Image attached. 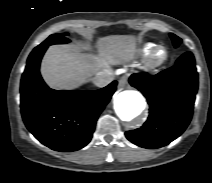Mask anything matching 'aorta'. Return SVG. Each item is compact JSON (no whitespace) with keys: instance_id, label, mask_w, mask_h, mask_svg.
<instances>
[{"instance_id":"1","label":"aorta","mask_w":212,"mask_h":183,"mask_svg":"<svg viewBox=\"0 0 212 183\" xmlns=\"http://www.w3.org/2000/svg\"><path fill=\"white\" fill-rule=\"evenodd\" d=\"M145 99L141 93L134 90L120 92L114 100V109L118 117L123 121H131L137 118L145 109Z\"/></svg>"}]
</instances>
